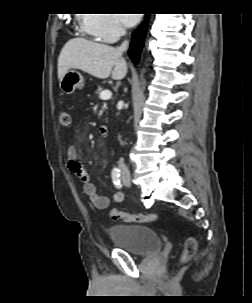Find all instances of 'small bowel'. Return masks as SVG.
I'll return each instance as SVG.
<instances>
[{
	"label": "small bowel",
	"mask_w": 252,
	"mask_h": 303,
	"mask_svg": "<svg viewBox=\"0 0 252 303\" xmlns=\"http://www.w3.org/2000/svg\"><path fill=\"white\" fill-rule=\"evenodd\" d=\"M66 162L69 172L81 180L83 193L90 199L93 206L97 209H107L111 199L107 195L97 193L95 185L90 181L88 172L78 161V153L74 145H70L67 149ZM123 198L122 192L113 193L112 200L114 202H121Z\"/></svg>",
	"instance_id": "c3829d8e"
}]
</instances>
